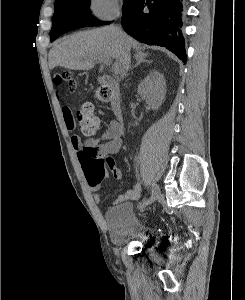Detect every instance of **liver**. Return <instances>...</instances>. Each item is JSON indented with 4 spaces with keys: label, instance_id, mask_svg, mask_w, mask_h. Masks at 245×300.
Wrapping results in <instances>:
<instances>
[{
    "label": "liver",
    "instance_id": "6515ba94",
    "mask_svg": "<svg viewBox=\"0 0 245 300\" xmlns=\"http://www.w3.org/2000/svg\"><path fill=\"white\" fill-rule=\"evenodd\" d=\"M131 48L136 50L137 55L147 56L138 42L124 33L120 35L114 26L78 32L54 44L49 52V68L61 66L72 70H90L95 61L106 57L115 59L121 71H125L126 53L130 58Z\"/></svg>",
    "mask_w": 245,
    "mask_h": 300
}]
</instances>
